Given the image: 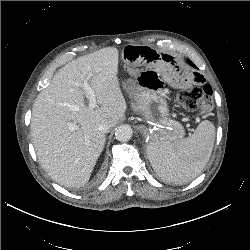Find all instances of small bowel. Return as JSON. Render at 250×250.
<instances>
[{
    "instance_id": "1",
    "label": "small bowel",
    "mask_w": 250,
    "mask_h": 250,
    "mask_svg": "<svg viewBox=\"0 0 250 250\" xmlns=\"http://www.w3.org/2000/svg\"><path fill=\"white\" fill-rule=\"evenodd\" d=\"M126 70L136 75L144 70L152 69L155 66H162L170 63V57L164 56L163 59L155 51L146 47L128 46L123 52ZM164 61V62H163ZM176 82L183 88L199 85L204 82V78L199 73H193L186 77L177 78Z\"/></svg>"
}]
</instances>
